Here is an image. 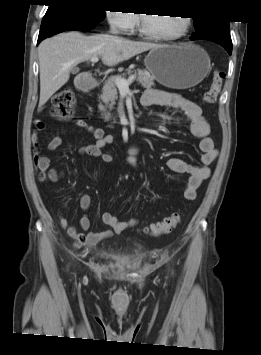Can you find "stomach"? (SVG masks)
<instances>
[{
  "instance_id": "obj_1",
  "label": "stomach",
  "mask_w": 261,
  "mask_h": 355,
  "mask_svg": "<svg viewBox=\"0 0 261 355\" xmlns=\"http://www.w3.org/2000/svg\"><path fill=\"white\" fill-rule=\"evenodd\" d=\"M145 66L162 85L186 89L199 84L209 73L210 57L198 45L180 43L150 50Z\"/></svg>"
}]
</instances>
